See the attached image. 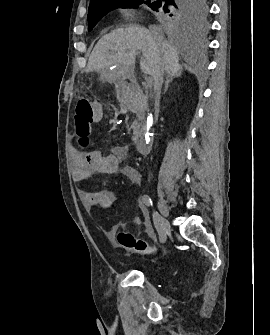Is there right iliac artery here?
I'll return each mask as SVG.
<instances>
[{"label":"right iliac artery","mask_w":270,"mask_h":335,"mask_svg":"<svg viewBox=\"0 0 270 335\" xmlns=\"http://www.w3.org/2000/svg\"><path fill=\"white\" fill-rule=\"evenodd\" d=\"M142 202L148 206V207H152V199L148 196V195H143L142 196ZM153 222H154V226L159 234V240L160 242H165L166 240V233L163 227V223H162V217L158 214V212L153 211Z\"/></svg>","instance_id":"obj_1"}]
</instances>
